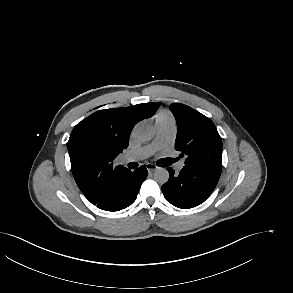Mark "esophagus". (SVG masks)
Returning a JSON list of instances; mask_svg holds the SVG:
<instances>
[{"label": "esophagus", "instance_id": "obj_1", "mask_svg": "<svg viewBox=\"0 0 293 293\" xmlns=\"http://www.w3.org/2000/svg\"><path fill=\"white\" fill-rule=\"evenodd\" d=\"M145 166L149 172H154L155 170L158 169V167L156 165L151 164V163H147Z\"/></svg>", "mask_w": 293, "mask_h": 293}]
</instances>
